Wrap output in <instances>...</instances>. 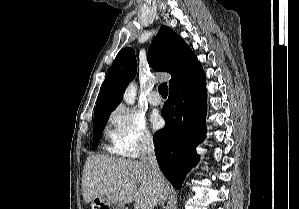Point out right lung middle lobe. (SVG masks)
Segmentation results:
<instances>
[{"mask_svg":"<svg viewBox=\"0 0 299 209\" xmlns=\"http://www.w3.org/2000/svg\"><path fill=\"white\" fill-rule=\"evenodd\" d=\"M111 112L95 114L93 125V147H97L101 138V132L105 128Z\"/></svg>","mask_w":299,"mask_h":209,"instance_id":"right-lung-middle-lobe-1","label":"right lung middle lobe"}]
</instances>
